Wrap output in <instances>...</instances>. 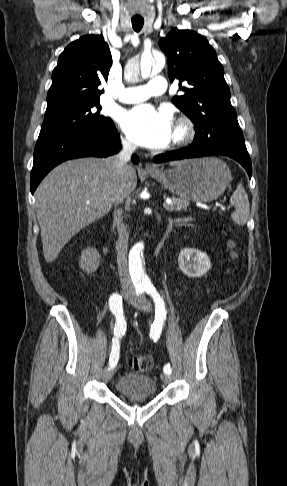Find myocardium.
<instances>
[{
  "mask_svg": "<svg viewBox=\"0 0 287 486\" xmlns=\"http://www.w3.org/2000/svg\"><path fill=\"white\" fill-rule=\"evenodd\" d=\"M195 136V127L192 121L186 117L177 120L172 137V145L179 147L190 143Z\"/></svg>",
  "mask_w": 287,
  "mask_h": 486,
  "instance_id": "myocardium-1",
  "label": "myocardium"
}]
</instances>
